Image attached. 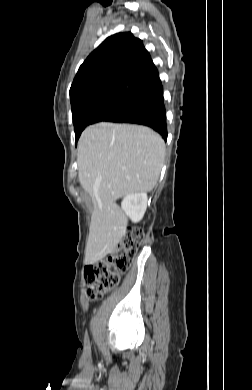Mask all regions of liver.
Wrapping results in <instances>:
<instances>
[{
	"label": "liver",
	"mask_w": 252,
	"mask_h": 390,
	"mask_svg": "<svg viewBox=\"0 0 252 390\" xmlns=\"http://www.w3.org/2000/svg\"><path fill=\"white\" fill-rule=\"evenodd\" d=\"M165 157L161 136L145 126L107 122L88 126L78 144V178L92 197L85 262L112 253L126 234L128 219L115 201L156 185Z\"/></svg>",
	"instance_id": "1"
}]
</instances>
